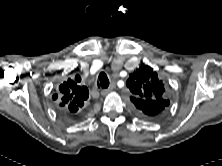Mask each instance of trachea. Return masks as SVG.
Segmentation results:
<instances>
[{
  "label": "trachea",
  "instance_id": "1",
  "mask_svg": "<svg viewBox=\"0 0 222 166\" xmlns=\"http://www.w3.org/2000/svg\"><path fill=\"white\" fill-rule=\"evenodd\" d=\"M99 81L100 84H98V87H102V89H106L109 86V79L107 75L104 72H101L99 75Z\"/></svg>",
  "mask_w": 222,
  "mask_h": 166
}]
</instances>
